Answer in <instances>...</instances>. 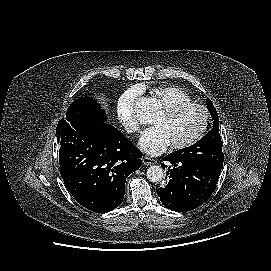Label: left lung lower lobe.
Instances as JSON below:
<instances>
[{
    "mask_svg": "<svg viewBox=\"0 0 271 271\" xmlns=\"http://www.w3.org/2000/svg\"><path fill=\"white\" fill-rule=\"evenodd\" d=\"M162 161L172 164V167H168L165 186L157 189V194L166 208L176 212L190 211L211 196L219 178L218 174L198 163L182 160L172 153ZM161 166L164 168L165 164L162 163Z\"/></svg>",
    "mask_w": 271,
    "mask_h": 271,
    "instance_id": "obj_1",
    "label": "left lung lower lobe"
}]
</instances>
